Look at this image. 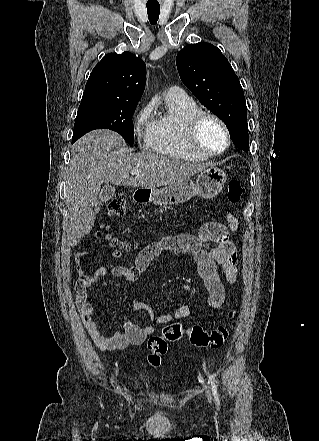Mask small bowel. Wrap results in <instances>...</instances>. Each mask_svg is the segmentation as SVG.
<instances>
[{
  "label": "small bowel",
  "instance_id": "small-bowel-1",
  "mask_svg": "<svg viewBox=\"0 0 319 441\" xmlns=\"http://www.w3.org/2000/svg\"><path fill=\"white\" fill-rule=\"evenodd\" d=\"M238 227V220L232 212L226 214V224L209 222L201 226L198 235L179 234L166 237L145 247L136 257L133 265L102 267L94 274H88L83 268L86 253L76 255L78 281L76 290V308L80 319L95 345L102 350H121L128 345H141L146 338L155 332L152 326H140L131 321L124 324L123 331H114L105 335L97 324L95 308L89 297L88 290L97 286L101 277L112 276L125 282H134L139 274L145 271L155 257L163 250L189 253L197 265V271L208 291L210 310H218L226 299V290L220 278L219 270L229 284L237 281V251L229 239L230 233ZM114 257H119L114 253ZM184 291H191L189 283L182 285ZM133 309L145 311L157 323H168L174 319H186L193 315V309L180 304L174 315L165 314L154 318L152 309L142 301H134Z\"/></svg>",
  "mask_w": 319,
  "mask_h": 441
}]
</instances>
